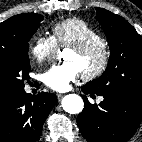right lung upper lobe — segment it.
<instances>
[{"mask_svg":"<svg viewBox=\"0 0 142 142\" xmlns=\"http://www.w3.org/2000/svg\"><path fill=\"white\" fill-rule=\"evenodd\" d=\"M24 14L13 16L6 21L0 23V32L13 33L18 26L19 21L22 19ZM12 97L11 94L6 92H0V108Z\"/></svg>","mask_w":142,"mask_h":142,"instance_id":"obj_1","label":"right lung upper lobe"}]
</instances>
